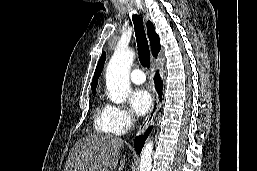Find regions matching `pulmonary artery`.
I'll return each instance as SVG.
<instances>
[{
  "instance_id": "pulmonary-artery-1",
  "label": "pulmonary artery",
  "mask_w": 257,
  "mask_h": 171,
  "mask_svg": "<svg viewBox=\"0 0 257 171\" xmlns=\"http://www.w3.org/2000/svg\"><path fill=\"white\" fill-rule=\"evenodd\" d=\"M130 79L134 84H143L146 80L145 74L141 69H134L130 74Z\"/></svg>"
}]
</instances>
